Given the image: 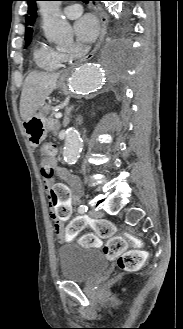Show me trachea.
<instances>
[{
    "mask_svg": "<svg viewBox=\"0 0 183 329\" xmlns=\"http://www.w3.org/2000/svg\"><path fill=\"white\" fill-rule=\"evenodd\" d=\"M83 1L84 3H88L90 0H80Z\"/></svg>",
    "mask_w": 183,
    "mask_h": 329,
    "instance_id": "1",
    "label": "trachea"
}]
</instances>
